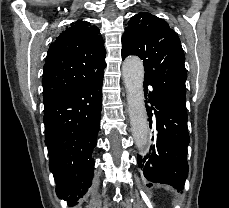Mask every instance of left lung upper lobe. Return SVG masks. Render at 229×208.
Here are the masks:
<instances>
[{"label": "left lung upper lobe", "mask_w": 229, "mask_h": 208, "mask_svg": "<svg viewBox=\"0 0 229 208\" xmlns=\"http://www.w3.org/2000/svg\"><path fill=\"white\" fill-rule=\"evenodd\" d=\"M128 24L122 36V59L139 56L144 64V83L186 109L187 73L178 35L166 21L148 12L136 14Z\"/></svg>", "instance_id": "1"}]
</instances>
